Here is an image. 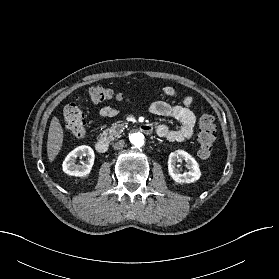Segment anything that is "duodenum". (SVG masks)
I'll list each match as a JSON object with an SVG mask.
<instances>
[{
    "label": "duodenum",
    "mask_w": 279,
    "mask_h": 279,
    "mask_svg": "<svg viewBox=\"0 0 279 279\" xmlns=\"http://www.w3.org/2000/svg\"><path fill=\"white\" fill-rule=\"evenodd\" d=\"M141 129L147 134H150L154 131V129L149 124H143ZM95 148L99 153H105L109 148V142L106 139L101 138L97 140Z\"/></svg>",
    "instance_id": "obj_1"
}]
</instances>
